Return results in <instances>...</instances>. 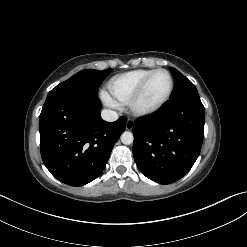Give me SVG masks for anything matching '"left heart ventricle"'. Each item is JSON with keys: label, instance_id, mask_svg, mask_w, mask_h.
<instances>
[{"label": "left heart ventricle", "instance_id": "1", "mask_svg": "<svg viewBox=\"0 0 247 247\" xmlns=\"http://www.w3.org/2000/svg\"><path fill=\"white\" fill-rule=\"evenodd\" d=\"M168 88V76L163 72L155 74L140 99L139 105L141 107H149L158 103L166 95Z\"/></svg>", "mask_w": 247, "mask_h": 247}]
</instances>
